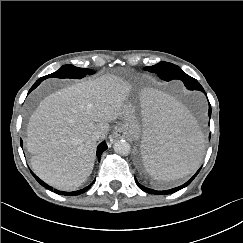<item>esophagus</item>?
<instances>
[{
    "mask_svg": "<svg viewBox=\"0 0 243 243\" xmlns=\"http://www.w3.org/2000/svg\"><path fill=\"white\" fill-rule=\"evenodd\" d=\"M126 136H127V132L123 128H118L113 134V138L115 139H123Z\"/></svg>",
    "mask_w": 243,
    "mask_h": 243,
    "instance_id": "1",
    "label": "esophagus"
}]
</instances>
